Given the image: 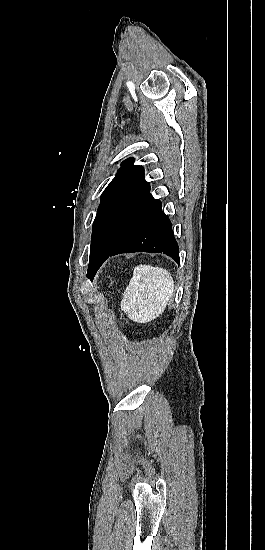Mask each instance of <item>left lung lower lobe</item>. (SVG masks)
<instances>
[{
    "instance_id": "obj_1",
    "label": "left lung lower lobe",
    "mask_w": 265,
    "mask_h": 550,
    "mask_svg": "<svg viewBox=\"0 0 265 550\" xmlns=\"http://www.w3.org/2000/svg\"><path fill=\"white\" fill-rule=\"evenodd\" d=\"M159 252L171 256L178 264V244L172 224L162 211L161 202L143 217L110 251L90 252L87 277L93 280L100 266L109 256L132 252Z\"/></svg>"
}]
</instances>
